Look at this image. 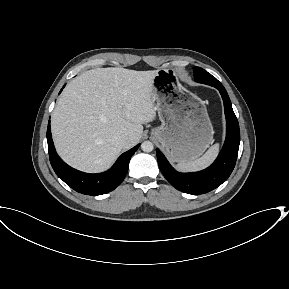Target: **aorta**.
Here are the masks:
<instances>
[{"label":"aorta","instance_id":"762f6f07","mask_svg":"<svg viewBox=\"0 0 289 289\" xmlns=\"http://www.w3.org/2000/svg\"><path fill=\"white\" fill-rule=\"evenodd\" d=\"M153 148H154V146H153V143L151 141H144L141 144V149L144 152H151L153 150Z\"/></svg>","mask_w":289,"mask_h":289}]
</instances>
